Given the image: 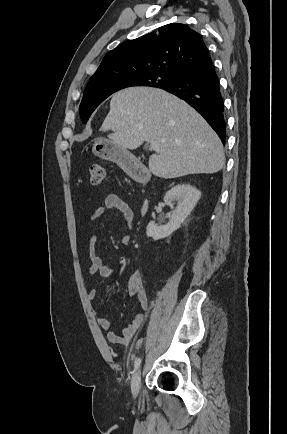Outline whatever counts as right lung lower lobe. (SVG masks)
Listing matches in <instances>:
<instances>
[{
  "label": "right lung lower lobe",
  "instance_id": "obj_1",
  "mask_svg": "<svg viewBox=\"0 0 287 434\" xmlns=\"http://www.w3.org/2000/svg\"><path fill=\"white\" fill-rule=\"evenodd\" d=\"M164 89L195 108L225 143L224 103L219 80L209 56L183 70L177 81Z\"/></svg>",
  "mask_w": 287,
  "mask_h": 434
}]
</instances>
